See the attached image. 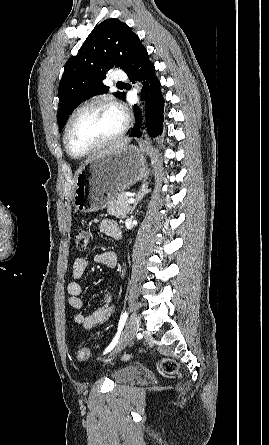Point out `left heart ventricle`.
<instances>
[{
  "label": "left heart ventricle",
  "mask_w": 269,
  "mask_h": 445,
  "mask_svg": "<svg viewBox=\"0 0 269 445\" xmlns=\"http://www.w3.org/2000/svg\"><path fill=\"white\" fill-rule=\"evenodd\" d=\"M122 123V116L116 109L105 105L91 107L73 120L68 144L76 154L87 152L114 136Z\"/></svg>",
  "instance_id": "b2bd125f"
}]
</instances>
